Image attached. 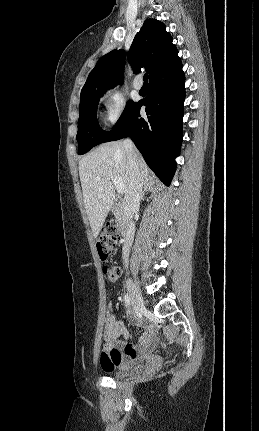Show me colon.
I'll list each match as a JSON object with an SVG mask.
<instances>
[{"mask_svg": "<svg viewBox=\"0 0 259 431\" xmlns=\"http://www.w3.org/2000/svg\"><path fill=\"white\" fill-rule=\"evenodd\" d=\"M120 240V232L117 225L113 222L106 223L97 239V251L100 260L105 263L116 251V246ZM103 274L110 284H115L120 277V269L116 266L105 264Z\"/></svg>", "mask_w": 259, "mask_h": 431, "instance_id": "colon-1", "label": "colon"}]
</instances>
